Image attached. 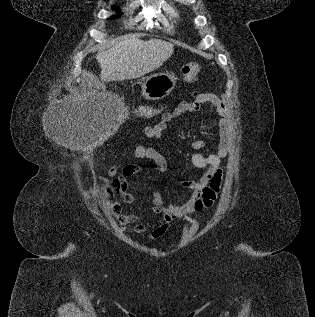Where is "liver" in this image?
<instances>
[{"mask_svg": "<svg viewBox=\"0 0 315 317\" xmlns=\"http://www.w3.org/2000/svg\"><path fill=\"white\" fill-rule=\"evenodd\" d=\"M173 51V44L161 39L142 41L125 37L111 48L97 53L96 59L101 68L100 79L110 82L140 78L162 66ZM109 109L111 114L113 109Z\"/></svg>", "mask_w": 315, "mask_h": 317, "instance_id": "obj_1", "label": "liver"}]
</instances>
